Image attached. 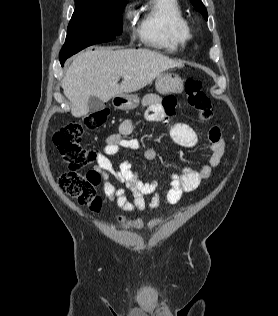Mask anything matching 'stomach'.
Returning <instances> with one entry per match:
<instances>
[{"instance_id":"1","label":"stomach","mask_w":278,"mask_h":316,"mask_svg":"<svg viewBox=\"0 0 278 316\" xmlns=\"http://www.w3.org/2000/svg\"><path fill=\"white\" fill-rule=\"evenodd\" d=\"M156 90L159 94L178 93L183 88L182 79L172 73H161L156 77ZM112 104L116 109L131 110L139 105V98L137 95L120 94L114 96Z\"/></svg>"}]
</instances>
